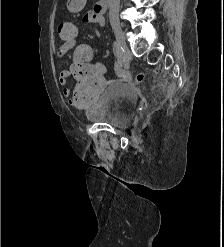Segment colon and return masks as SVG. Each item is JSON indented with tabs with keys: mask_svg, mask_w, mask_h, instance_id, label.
<instances>
[{
	"mask_svg": "<svg viewBox=\"0 0 224 247\" xmlns=\"http://www.w3.org/2000/svg\"><path fill=\"white\" fill-rule=\"evenodd\" d=\"M56 32L58 37L63 40L76 39L77 26L69 20H62L57 24ZM92 50L86 45L80 46L75 54V61L71 67L72 76L79 82H86L87 87L78 88L71 96L72 105L82 107L91 104L98 93L105 87V81L99 71L90 64ZM137 82L144 80V75L139 73L136 77Z\"/></svg>",
	"mask_w": 224,
	"mask_h": 247,
	"instance_id": "obj_1",
	"label": "colon"
}]
</instances>
